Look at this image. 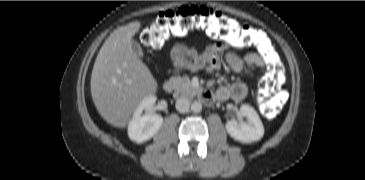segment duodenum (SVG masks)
Returning <instances> with one entry per match:
<instances>
[{
  "mask_svg": "<svg viewBox=\"0 0 365 180\" xmlns=\"http://www.w3.org/2000/svg\"><path fill=\"white\" fill-rule=\"evenodd\" d=\"M163 90L167 93H171L174 90V82L171 80H165L162 84ZM201 102L209 104L213 100V94L209 90H201L199 92Z\"/></svg>",
  "mask_w": 365,
  "mask_h": 180,
  "instance_id": "410a0bca",
  "label": "duodenum"
}]
</instances>
